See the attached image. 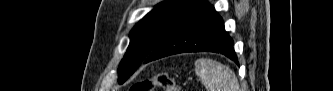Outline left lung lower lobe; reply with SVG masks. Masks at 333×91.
<instances>
[{
    "label": "left lung lower lobe",
    "mask_w": 333,
    "mask_h": 91,
    "mask_svg": "<svg viewBox=\"0 0 333 91\" xmlns=\"http://www.w3.org/2000/svg\"><path fill=\"white\" fill-rule=\"evenodd\" d=\"M232 43L214 7L198 0L170 28L144 62L185 52H215L238 63Z\"/></svg>",
    "instance_id": "1"
}]
</instances>
